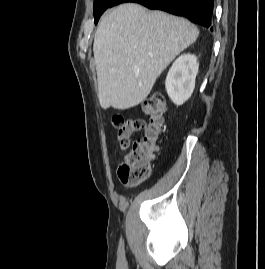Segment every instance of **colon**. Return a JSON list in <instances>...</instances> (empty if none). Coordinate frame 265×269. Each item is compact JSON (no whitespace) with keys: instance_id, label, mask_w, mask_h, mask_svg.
<instances>
[{"instance_id":"5ec220e1","label":"colon","mask_w":265,"mask_h":269,"mask_svg":"<svg viewBox=\"0 0 265 269\" xmlns=\"http://www.w3.org/2000/svg\"><path fill=\"white\" fill-rule=\"evenodd\" d=\"M143 112L149 117V125L142 139L135 140L131 145L134 133L145 128L141 119H126L115 115L113 126L117 129V139L121 150L130 148L123 164L118 169L120 181L128 186H135L146 181L151 173L155 154L161 143V135L165 129L166 103L161 94L149 95L142 105Z\"/></svg>"}]
</instances>
